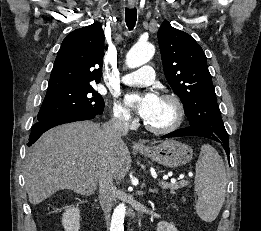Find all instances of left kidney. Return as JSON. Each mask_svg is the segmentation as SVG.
<instances>
[{
  "instance_id": "1",
  "label": "left kidney",
  "mask_w": 261,
  "mask_h": 231,
  "mask_svg": "<svg viewBox=\"0 0 261 231\" xmlns=\"http://www.w3.org/2000/svg\"><path fill=\"white\" fill-rule=\"evenodd\" d=\"M157 231H178V230L173 223L162 221L157 224Z\"/></svg>"
}]
</instances>
